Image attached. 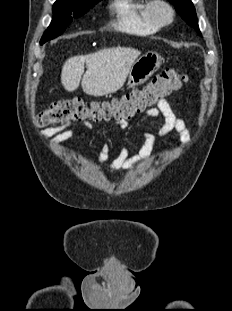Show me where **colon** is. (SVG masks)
<instances>
[{
    "label": "colon",
    "mask_w": 232,
    "mask_h": 311,
    "mask_svg": "<svg viewBox=\"0 0 232 311\" xmlns=\"http://www.w3.org/2000/svg\"><path fill=\"white\" fill-rule=\"evenodd\" d=\"M186 81V74L167 68L155 75L146 86L133 89L111 101L86 103L79 97H73L53 102L38 114L37 124L47 127L85 120H125L154 107Z\"/></svg>",
    "instance_id": "colon-1"
}]
</instances>
